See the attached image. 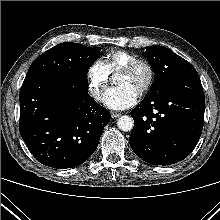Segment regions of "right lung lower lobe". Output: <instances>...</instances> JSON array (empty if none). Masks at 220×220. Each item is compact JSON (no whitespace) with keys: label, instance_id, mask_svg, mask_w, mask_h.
Listing matches in <instances>:
<instances>
[{"label":"right lung lower lobe","instance_id":"obj_1","mask_svg":"<svg viewBox=\"0 0 220 220\" xmlns=\"http://www.w3.org/2000/svg\"><path fill=\"white\" fill-rule=\"evenodd\" d=\"M110 113L88 94L84 74L26 76L20 91V134L42 164L73 168L96 150Z\"/></svg>","mask_w":220,"mask_h":220}]
</instances>
